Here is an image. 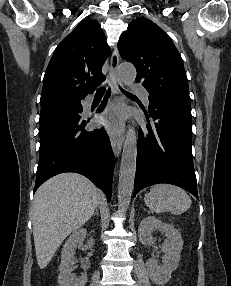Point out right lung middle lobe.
Listing matches in <instances>:
<instances>
[{"label":"right lung middle lobe","mask_w":231,"mask_h":286,"mask_svg":"<svg viewBox=\"0 0 231 286\" xmlns=\"http://www.w3.org/2000/svg\"><path fill=\"white\" fill-rule=\"evenodd\" d=\"M76 109L77 106L76 103L74 102L41 108V114L39 120L40 124L47 123L49 121L61 118L63 116L75 114L77 113Z\"/></svg>","instance_id":"right-lung-middle-lobe-1"}]
</instances>
